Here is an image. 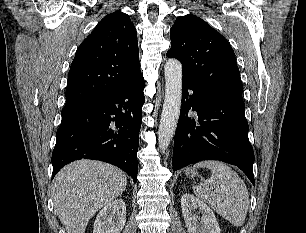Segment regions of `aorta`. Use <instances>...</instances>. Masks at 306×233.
<instances>
[{
	"mask_svg": "<svg viewBox=\"0 0 306 233\" xmlns=\"http://www.w3.org/2000/svg\"><path fill=\"white\" fill-rule=\"evenodd\" d=\"M165 98L158 130V146L164 151L170 144L177 127L182 96V64L169 59L164 67Z\"/></svg>",
	"mask_w": 306,
	"mask_h": 233,
	"instance_id": "1",
	"label": "aorta"
}]
</instances>
